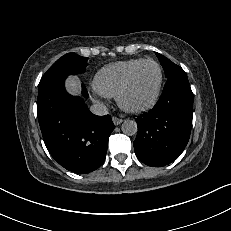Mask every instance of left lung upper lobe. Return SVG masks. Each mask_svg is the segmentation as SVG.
Here are the masks:
<instances>
[{
  "label": "left lung upper lobe",
  "mask_w": 231,
  "mask_h": 231,
  "mask_svg": "<svg viewBox=\"0 0 231 231\" xmlns=\"http://www.w3.org/2000/svg\"><path fill=\"white\" fill-rule=\"evenodd\" d=\"M156 55L161 63V65L163 66L164 72H165V76L168 78L171 74L178 72L180 70H182L181 67H179L178 65L174 64L172 61H170L168 58H166L165 56L159 54L156 52Z\"/></svg>",
  "instance_id": "obj_1"
}]
</instances>
